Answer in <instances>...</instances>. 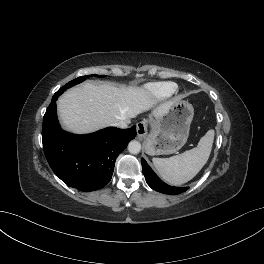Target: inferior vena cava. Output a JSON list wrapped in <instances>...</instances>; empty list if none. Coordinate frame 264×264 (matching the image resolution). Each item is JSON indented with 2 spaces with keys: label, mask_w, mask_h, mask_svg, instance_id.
I'll return each instance as SVG.
<instances>
[{
  "label": "inferior vena cava",
  "mask_w": 264,
  "mask_h": 264,
  "mask_svg": "<svg viewBox=\"0 0 264 264\" xmlns=\"http://www.w3.org/2000/svg\"><path fill=\"white\" fill-rule=\"evenodd\" d=\"M114 126L124 129L128 127V122L121 120L119 122L114 123Z\"/></svg>",
  "instance_id": "602c4592"
}]
</instances>
